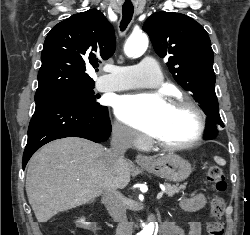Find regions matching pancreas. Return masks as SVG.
<instances>
[{"label": "pancreas", "instance_id": "pancreas-1", "mask_svg": "<svg viewBox=\"0 0 250 235\" xmlns=\"http://www.w3.org/2000/svg\"><path fill=\"white\" fill-rule=\"evenodd\" d=\"M166 191L168 194V197H173L174 194L179 193L181 190L185 189L184 185H170V184H166Z\"/></svg>", "mask_w": 250, "mask_h": 235}]
</instances>
